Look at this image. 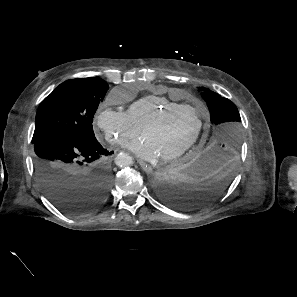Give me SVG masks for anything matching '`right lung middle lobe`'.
Returning <instances> with one entry per match:
<instances>
[{"instance_id":"right-lung-middle-lobe-1","label":"right lung middle lobe","mask_w":297,"mask_h":297,"mask_svg":"<svg viewBox=\"0 0 297 297\" xmlns=\"http://www.w3.org/2000/svg\"><path fill=\"white\" fill-rule=\"evenodd\" d=\"M108 84L100 78H76L60 84L40 104L32 141L53 134H69L95 141L93 116Z\"/></svg>"}]
</instances>
